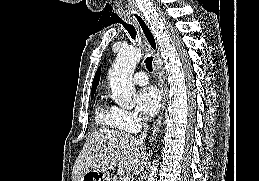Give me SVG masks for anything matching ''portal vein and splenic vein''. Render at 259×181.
Returning a JSON list of instances; mask_svg holds the SVG:
<instances>
[{
  "label": "portal vein and splenic vein",
  "mask_w": 259,
  "mask_h": 181,
  "mask_svg": "<svg viewBox=\"0 0 259 181\" xmlns=\"http://www.w3.org/2000/svg\"><path fill=\"white\" fill-rule=\"evenodd\" d=\"M119 181H130V178L128 176H122L119 178Z\"/></svg>",
  "instance_id": "portal-vein-and-splenic-vein-1"
}]
</instances>
